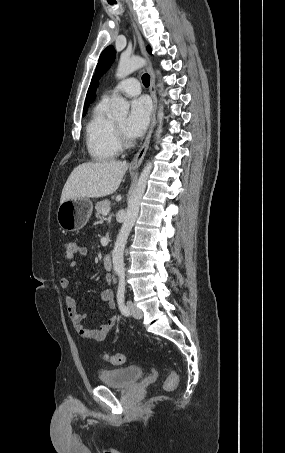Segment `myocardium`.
Returning <instances> with one entry per match:
<instances>
[{
    "instance_id": "myocardium-1",
    "label": "myocardium",
    "mask_w": 285,
    "mask_h": 453,
    "mask_svg": "<svg viewBox=\"0 0 285 453\" xmlns=\"http://www.w3.org/2000/svg\"><path fill=\"white\" fill-rule=\"evenodd\" d=\"M115 130L121 144V147H130L132 145L131 139L127 136L126 132L115 122Z\"/></svg>"
}]
</instances>
